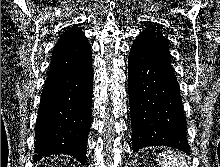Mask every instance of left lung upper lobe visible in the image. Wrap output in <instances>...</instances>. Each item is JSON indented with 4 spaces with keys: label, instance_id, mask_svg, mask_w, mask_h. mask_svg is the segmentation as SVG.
Returning a JSON list of instances; mask_svg holds the SVG:
<instances>
[{
    "label": "left lung upper lobe",
    "instance_id": "obj_1",
    "mask_svg": "<svg viewBox=\"0 0 220 167\" xmlns=\"http://www.w3.org/2000/svg\"><path fill=\"white\" fill-rule=\"evenodd\" d=\"M131 50L170 56L165 37L158 27L152 25L147 26L145 30L137 36Z\"/></svg>",
    "mask_w": 220,
    "mask_h": 167
}]
</instances>
